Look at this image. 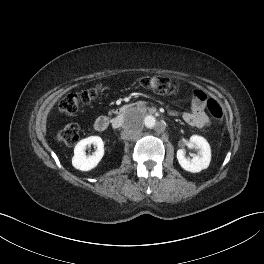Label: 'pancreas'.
I'll return each instance as SVG.
<instances>
[{
  "mask_svg": "<svg viewBox=\"0 0 264 264\" xmlns=\"http://www.w3.org/2000/svg\"><path fill=\"white\" fill-rule=\"evenodd\" d=\"M112 112H114V110L110 111L109 114H111Z\"/></svg>",
  "mask_w": 264,
  "mask_h": 264,
  "instance_id": "cf45deb5",
  "label": "pancreas"
}]
</instances>
